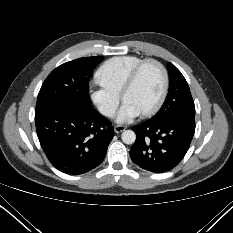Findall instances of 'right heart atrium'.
Instances as JSON below:
<instances>
[{
    "label": "right heart atrium",
    "instance_id": "obj_1",
    "mask_svg": "<svg viewBox=\"0 0 233 233\" xmlns=\"http://www.w3.org/2000/svg\"><path fill=\"white\" fill-rule=\"evenodd\" d=\"M90 97L99 112L105 117H112L120 103V94L98 81L93 83L90 90Z\"/></svg>",
    "mask_w": 233,
    "mask_h": 233
}]
</instances>
